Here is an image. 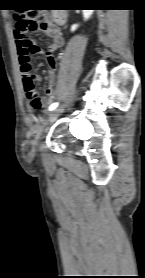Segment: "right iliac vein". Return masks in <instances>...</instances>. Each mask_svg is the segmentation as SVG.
Instances as JSON below:
<instances>
[{
	"instance_id": "63e3f726",
	"label": "right iliac vein",
	"mask_w": 145,
	"mask_h": 278,
	"mask_svg": "<svg viewBox=\"0 0 145 278\" xmlns=\"http://www.w3.org/2000/svg\"><path fill=\"white\" fill-rule=\"evenodd\" d=\"M61 109H56L49 114V119L52 120L56 117L57 113L60 112Z\"/></svg>"
}]
</instances>
